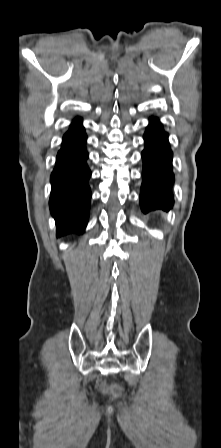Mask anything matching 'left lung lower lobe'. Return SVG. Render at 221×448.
Returning a JSON list of instances; mask_svg holds the SVG:
<instances>
[{"mask_svg":"<svg viewBox=\"0 0 221 448\" xmlns=\"http://www.w3.org/2000/svg\"><path fill=\"white\" fill-rule=\"evenodd\" d=\"M144 140L141 209L144 213L156 209L169 210L174 203L170 190L174 182L172 152L168 135L158 119L151 118Z\"/></svg>","mask_w":221,"mask_h":448,"instance_id":"left-lung-lower-lobe-1","label":"left lung lower lobe"}]
</instances>
